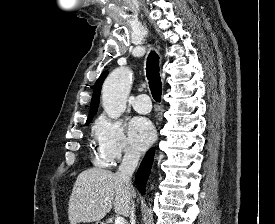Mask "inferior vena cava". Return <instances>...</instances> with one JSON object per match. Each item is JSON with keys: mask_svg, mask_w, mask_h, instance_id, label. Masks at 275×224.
<instances>
[{"mask_svg": "<svg viewBox=\"0 0 275 224\" xmlns=\"http://www.w3.org/2000/svg\"><path fill=\"white\" fill-rule=\"evenodd\" d=\"M139 158V152L126 149L123 160L118 168L117 174L129 188H133L131 184V177L138 165ZM129 216L131 224H135V204L133 201H131Z\"/></svg>", "mask_w": 275, "mask_h": 224, "instance_id": "1", "label": "inferior vena cava"}]
</instances>
